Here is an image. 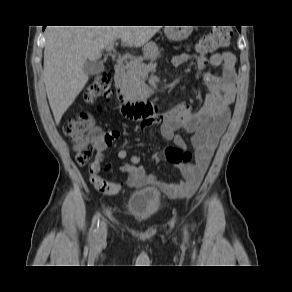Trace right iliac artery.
Segmentation results:
<instances>
[{"instance_id":"right-iliac-artery-1","label":"right iliac artery","mask_w":292,"mask_h":292,"mask_svg":"<svg viewBox=\"0 0 292 292\" xmlns=\"http://www.w3.org/2000/svg\"><path fill=\"white\" fill-rule=\"evenodd\" d=\"M99 218H100V213L97 212L93 218L92 226L90 229V237H95L98 232V226H99Z\"/></svg>"}]
</instances>
